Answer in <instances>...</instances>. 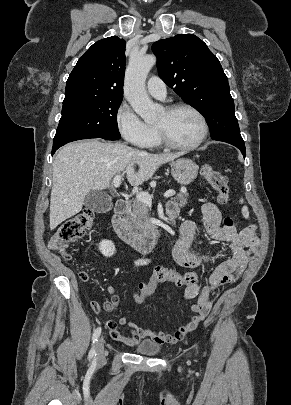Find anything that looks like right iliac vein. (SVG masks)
<instances>
[{
	"instance_id": "1",
	"label": "right iliac vein",
	"mask_w": 291,
	"mask_h": 405,
	"mask_svg": "<svg viewBox=\"0 0 291 405\" xmlns=\"http://www.w3.org/2000/svg\"><path fill=\"white\" fill-rule=\"evenodd\" d=\"M96 355H97V360L102 361L104 359V340L103 338H100L98 342L96 343Z\"/></svg>"
}]
</instances>
